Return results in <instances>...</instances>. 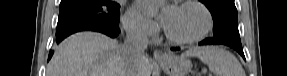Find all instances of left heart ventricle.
<instances>
[{
  "instance_id": "left-heart-ventricle-1",
  "label": "left heart ventricle",
  "mask_w": 287,
  "mask_h": 76,
  "mask_svg": "<svg viewBox=\"0 0 287 76\" xmlns=\"http://www.w3.org/2000/svg\"><path fill=\"white\" fill-rule=\"evenodd\" d=\"M204 25L203 13L194 6H185L175 8V12L165 28L175 37L189 38L197 35Z\"/></svg>"
}]
</instances>
